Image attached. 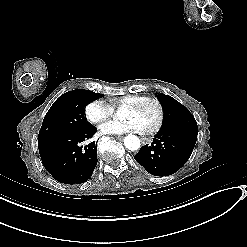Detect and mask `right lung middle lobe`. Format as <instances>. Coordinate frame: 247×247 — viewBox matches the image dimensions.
<instances>
[{
	"instance_id": "1",
	"label": "right lung middle lobe",
	"mask_w": 247,
	"mask_h": 247,
	"mask_svg": "<svg viewBox=\"0 0 247 247\" xmlns=\"http://www.w3.org/2000/svg\"><path fill=\"white\" fill-rule=\"evenodd\" d=\"M103 96L85 89H76L61 95L44 117L38 138L61 132H77L91 124L84 117L85 107Z\"/></svg>"
}]
</instances>
